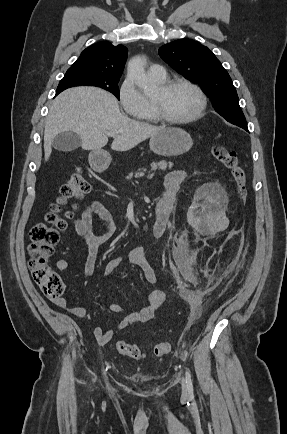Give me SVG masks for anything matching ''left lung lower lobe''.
Here are the masks:
<instances>
[{"label": "left lung lower lobe", "instance_id": "0a47b994", "mask_svg": "<svg viewBox=\"0 0 287 434\" xmlns=\"http://www.w3.org/2000/svg\"><path fill=\"white\" fill-rule=\"evenodd\" d=\"M232 124H235L243 129H245L246 131H248V127L246 125V121H232Z\"/></svg>", "mask_w": 287, "mask_h": 434}]
</instances>
